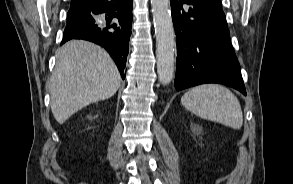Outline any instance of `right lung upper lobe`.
Wrapping results in <instances>:
<instances>
[{"label": "right lung upper lobe", "instance_id": "1", "mask_svg": "<svg viewBox=\"0 0 293 184\" xmlns=\"http://www.w3.org/2000/svg\"><path fill=\"white\" fill-rule=\"evenodd\" d=\"M82 1H93V0H72L71 5L81 3Z\"/></svg>", "mask_w": 293, "mask_h": 184}]
</instances>
